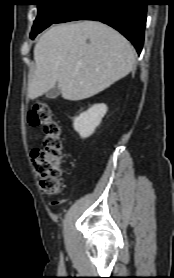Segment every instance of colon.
Returning <instances> with one entry per match:
<instances>
[{"mask_svg": "<svg viewBox=\"0 0 174 278\" xmlns=\"http://www.w3.org/2000/svg\"><path fill=\"white\" fill-rule=\"evenodd\" d=\"M27 121L32 126L42 127L45 133L41 146L31 153L32 167L39 178V189L46 195H56L62 187L64 144L61 127L55 121L49 105L43 101L31 106Z\"/></svg>", "mask_w": 174, "mask_h": 278, "instance_id": "colon-1", "label": "colon"}]
</instances>
